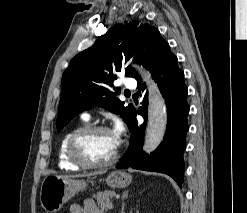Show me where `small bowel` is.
<instances>
[{
	"instance_id": "obj_1",
	"label": "small bowel",
	"mask_w": 247,
	"mask_h": 213,
	"mask_svg": "<svg viewBox=\"0 0 247 213\" xmlns=\"http://www.w3.org/2000/svg\"><path fill=\"white\" fill-rule=\"evenodd\" d=\"M70 213H103L95 202L91 199H86L82 204H72Z\"/></svg>"
}]
</instances>
